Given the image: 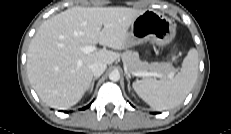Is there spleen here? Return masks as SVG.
<instances>
[{"label": "spleen", "instance_id": "spleen-1", "mask_svg": "<svg viewBox=\"0 0 231 134\" xmlns=\"http://www.w3.org/2000/svg\"><path fill=\"white\" fill-rule=\"evenodd\" d=\"M199 58L195 48L188 51L180 72L161 80L145 78L133 83L138 96L154 110L162 111L180 105L190 93L198 77Z\"/></svg>", "mask_w": 231, "mask_h": 134}]
</instances>
